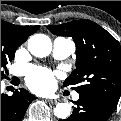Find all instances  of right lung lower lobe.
Segmentation results:
<instances>
[{
  "label": "right lung lower lobe",
  "instance_id": "98d812e1",
  "mask_svg": "<svg viewBox=\"0 0 121 121\" xmlns=\"http://www.w3.org/2000/svg\"><path fill=\"white\" fill-rule=\"evenodd\" d=\"M36 99L24 89L12 96L1 94V121H21L29 104Z\"/></svg>",
  "mask_w": 121,
  "mask_h": 121
}]
</instances>
